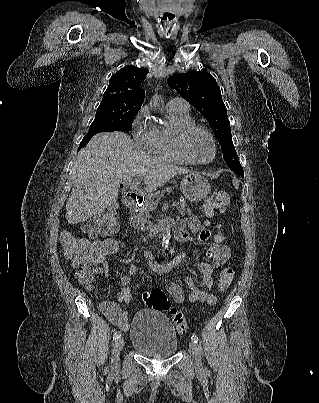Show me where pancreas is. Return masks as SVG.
Returning a JSON list of instances; mask_svg holds the SVG:
<instances>
[{
    "instance_id": "cf45deb5",
    "label": "pancreas",
    "mask_w": 319,
    "mask_h": 403,
    "mask_svg": "<svg viewBox=\"0 0 319 403\" xmlns=\"http://www.w3.org/2000/svg\"><path fill=\"white\" fill-rule=\"evenodd\" d=\"M152 200V199H150ZM153 201V200H152ZM154 202V201H153ZM155 210V207L149 204V199L146 200L142 206L136 210V215L132 217L133 227L135 229H141L142 231H147L152 226L150 213ZM177 210L181 215H191V209L187 207L185 202L179 203Z\"/></svg>"
}]
</instances>
